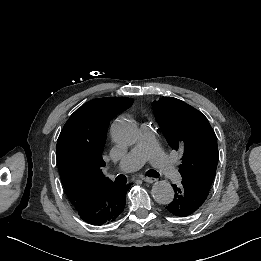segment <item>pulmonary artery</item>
Listing matches in <instances>:
<instances>
[{"mask_svg":"<svg viewBox=\"0 0 261 261\" xmlns=\"http://www.w3.org/2000/svg\"><path fill=\"white\" fill-rule=\"evenodd\" d=\"M155 132L151 122H141L137 143L127 152L111 173L135 171L146 161L165 163L166 159L159 148Z\"/></svg>","mask_w":261,"mask_h":261,"instance_id":"e3ab8cb5","label":"pulmonary artery"}]
</instances>
